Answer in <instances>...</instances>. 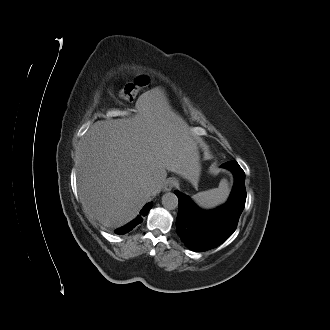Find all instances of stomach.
Returning <instances> with one entry per match:
<instances>
[{
  "label": "stomach",
  "mask_w": 330,
  "mask_h": 330,
  "mask_svg": "<svg viewBox=\"0 0 330 330\" xmlns=\"http://www.w3.org/2000/svg\"><path fill=\"white\" fill-rule=\"evenodd\" d=\"M200 174H201L200 157L199 155H195L193 156L191 161L189 179L191 180V182L196 184L199 181Z\"/></svg>",
  "instance_id": "obj_1"
}]
</instances>
